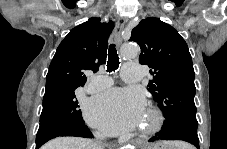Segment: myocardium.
Wrapping results in <instances>:
<instances>
[{
    "label": "myocardium",
    "mask_w": 227,
    "mask_h": 149,
    "mask_svg": "<svg viewBox=\"0 0 227 149\" xmlns=\"http://www.w3.org/2000/svg\"><path fill=\"white\" fill-rule=\"evenodd\" d=\"M164 117L162 112L157 108H150L148 110L147 121L142 126V133L151 135L156 133L162 126Z\"/></svg>",
    "instance_id": "f54148a6"
}]
</instances>
